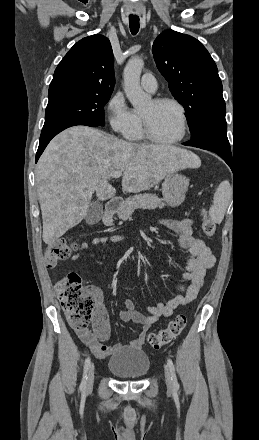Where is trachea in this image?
I'll use <instances>...</instances> for the list:
<instances>
[{"instance_id": "1", "label": "trachea", "mask_w": 259, "mask_h": 440, "mask_svg": "<svg viewBox=\"0 0 259 440\" xmlns=\"http://www.w3.org/2000/svg\"><path fill=\"white\" fill-rule=\"evenodd\" d=\"M129 27L130 31L133 35H136L139 31V18L138 17H130L129 18Z\"/></svg>"}]
</instances>
